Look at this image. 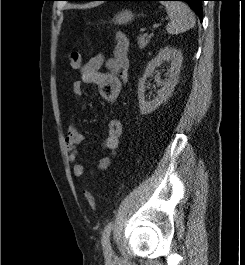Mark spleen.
Listing matches in <instances>:
<instances>
[{
    "label": "spleen",
    "mask_w": 245,
    "mask_h": 265,
    "mask_svg": "<svg viewBox=\"0 0 245 265\" xmlns=\"http://www.w3.org/2000/svg\"><path fill=\"white\" fill-rule=\"evenodd\" d=\"M161 3L166 7L170 17V22L166 26L169 34H179L195 26V16L188 5L179 1H163Z\"/></svg>",
    "instance_id": "1"
}]
</instances>
